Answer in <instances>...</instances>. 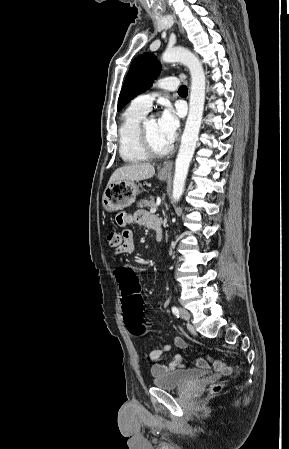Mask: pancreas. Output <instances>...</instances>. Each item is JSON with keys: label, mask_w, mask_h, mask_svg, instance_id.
Listing matches in <instances>:
<instances>
[{"label": "pancreas", "mask_w": 289, "mask_h": 449, "mask_svg": "<svg viewBox=\"0 0 289 449\" xmlns=\"http://www.w3.org/2000/svg\"><path fill=\"white\" fill-rule=\"evenodd\" d=\"M154 204H155L154 198L153 197H149L147 199L140 200V202L137 203V206L140 207V208L153 207Z\"/></svg>", "instance_id": "obj_1"}]
</instances>
